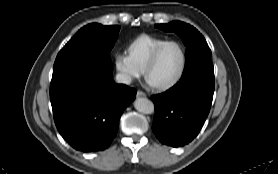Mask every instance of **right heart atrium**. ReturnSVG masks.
I'll return each mask as SVG.
<instances>
[{"instance_id": "d8ad5b80", "label": "right heart atrium", "mask_w": 278, "mask_h": 174, "mask_svg": "<svg viewBox=\"0 0 278 174\" xmlns=\"http://www.w3.org/2000/svg\"><path fill=\"white\" fill-rule=\"evenodd\" d=\"M116 67L119 73L127 80L139 75V70L126 56H120L117 58Z\"/></svg>"}]
</instances>
